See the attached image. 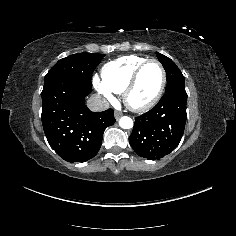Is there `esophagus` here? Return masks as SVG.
<instances>
[{
	"mask_svg": "<svg viewBox=\"0 0 236 236\" xmlns=\"http://www.w3.org/2000/svg\"><path fill=\"white\" fill-rule=\"evenodd\" d=\"M114 116H115V119L118 120L122 116V113L115 111Z\"/></svg>",
	"mask_w": 236,
	"mask_h": 236,
	"instance_id": "34e87169",
	"label": "esophagus"
}]
</instances>
